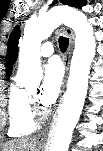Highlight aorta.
<instances>
[{"label": "aorta", "mask_w": 103, "mask_h": 151, "mask_svg": "<svg viewBox=\"0 0 103 151\" xmlns=\"http://www.w3.org/2000/svg\"><path fill=\"white\" fill-rule=\"evenodd\" d=\"M65 24L76 34L68 88L58 111L47 151H68L73 130L78 123L88 90L90 66L96 53L93 27L82 12L68 7H54L26 22L20 42L19 78L30 79L40 70V46L55 28Z\"/></svg>", "instance_id": "aorta-1"}]
</instances>
